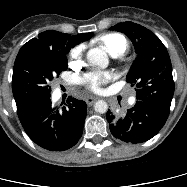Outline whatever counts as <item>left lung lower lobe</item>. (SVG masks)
<instances>
[{
  "mask_svg": "<svg viewBox=\"0 0 187 187\" xmlns=\"http://www.w3.org/2000/svg\"><path fill=\"white\" fill-rule=\"evenodd\" d=\"M169 111L159 106L137 100L124 118L116 119L108 111L106 118L115 138L124 142L141 143L154 137L164 126Z\"/></svg>",
  "mask_w": 187,
  "mask_h": 187,
  "instance_id": "0a47b994",
  "label": "left lung lower lobe"
}]
</instances>
